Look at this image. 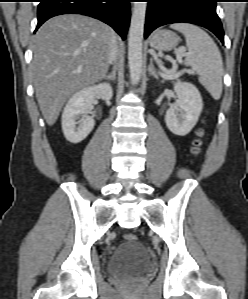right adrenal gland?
I'll list each match as a JSON object with an SVG mask.
<instances>
[{
  "label": "right adrenal gland",
  "mask_w": 248,
  "mask_h": 299,
  "mask_svg": "<svg viewBox=\"0 0 248 299\" xmlns=\"http://www.w3.org/2000/svg\"><path fill=\"white\" fill-rule=\"evenodd\" d=\"M116 70H117V66L114 65V66H113V69H112V72L109 73V74H107V75H105L104 78H105L106 80L114 81V80L116 79Z\"/></svg>",
  "instance_id": "2a0ac1e0"
}]
</instances>
